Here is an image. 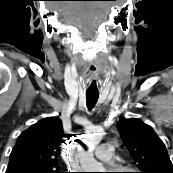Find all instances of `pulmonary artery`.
<instances>
[{
    "label": "pulmonary artery",
    "instance_id": "e3ab8cb5",
    "mask_svg": "<svg viewBox=\"0 0 173 173\" xmlns=\"http://www.w3.org/2000/svg\"><path fill=\"white\" fill-rule=\"evenodd\" d=\"M113 146L110 143L100 144L94 152L96 159L102 162H111L113 155Z\"/></svg>",
    "mask_w": 173,
    "mask_h": 173
}]
</instances>
